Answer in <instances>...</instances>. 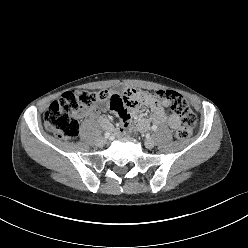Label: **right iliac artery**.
I'll list each match as a JSON object with an SVG mask.
<instances>
[{
	"label": "right iliac artery",
	"instance_id": "right-iliac-artery-1",
	"mask_svg": "<svg viewBox=\"0 0 248 248\" xmlns=\"http://www.w3.org/2000/svg\"><path fill=\"white\" fill-rule=\"evenodd\" d=\"M104 136H105V138H108V137L110 136V133H109V132H106V133L104 134Z\"/></svg>",
	"mask_w": 248,
	"mask_h": 248
}]
</instances>
